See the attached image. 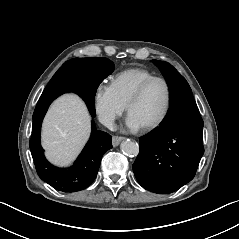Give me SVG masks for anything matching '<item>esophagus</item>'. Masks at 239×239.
Segmentation results:
<instances>
[{
	"label": "esophagus",
	"instance_id": "1",
	"mask_svg": "<svg viewBox=\"0 0 239 239\" xmlns=\"http://www.w3.org/2000/svg\"><path fill=\"white\" fill-rule=\"evenodd\" d=\"M125 137H119V136H113L112 138V145L114 147L118 146L122 140H124Z\"/></svg>",
	"mask_w": 239,
	"mask_h": 239
}]
</instances>
